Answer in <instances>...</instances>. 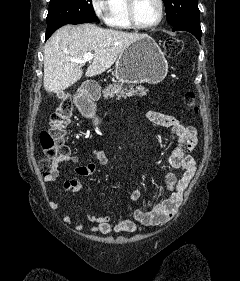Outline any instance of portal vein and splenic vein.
I'll return each instance as SVG.
<instances>
[{"label": "portal vein and splenic vein", "instance_id": "18ae733b", "mask_svg": "<svg viewBox=\"0 0 240 281\" xmlns=\"http://www.w3.org/2000/svg\"><path fill=\"white\" fill-rule=\"evenodd\" d=\"M94 58V54L92 53H86L82 59L79 60H73L75 62H78L80 64H85L86 62H91Z\"/></svg>", "mask_w": 240, "mask_h": 281}]
</instances>
